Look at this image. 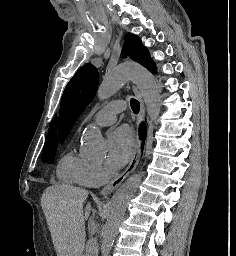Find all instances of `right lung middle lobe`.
<instances>
[{
  "mask_svg": "<svg viewBox=\"0 0 236 256\" xmlns=\"http://www.w3.org/2000/svg\"><path fill=\"white\" fill-rule=\"evenodd\" d=\"M57 149V142H46L44 148H43V161L45 163L51 164L54 160L55 153Z\"/></svg>",
  "mask_w": 236,
  "mask_h": 256,
  "instance_id": "right-lung-middle-lobe-1",
  "label": "right lung middle lobe"
}]
</instances>
